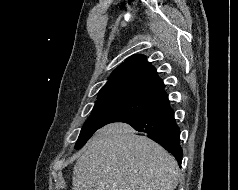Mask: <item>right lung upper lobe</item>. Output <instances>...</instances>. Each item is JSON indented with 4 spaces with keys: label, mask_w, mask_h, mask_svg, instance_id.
<instances>
[{
    "label": "right lung upper lobe",
    "mask_w": 238,
    "mask_h": 190,
    "mask_svg": "<svg viewBox=\"0 0 238 190\" xmlns=\"http://www.w3.org/2000/svg\"><path fill=\"white\" fill-rule=\"evenodd\" d=\"M130 96L154 105L167 97L156 69L143 55H134L118 66L99 92L98 99Z\"/></svg>",
    "instance_id": "1"
}]
</instances>
